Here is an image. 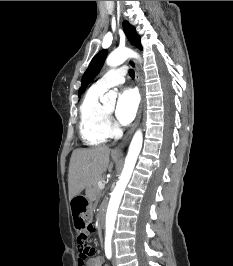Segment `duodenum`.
I'll list each match as a JSON object with an SVG mask.
<instances>
[{
    "instance_id": "obj_1",
    "label": "duodenum",
    "mask_w": 233,
    "mask_h": 266,
    "mask_svg": "<svg viewBox=\"0 0 233 266\" xmlns=\"http://www.w3.org/2000/svg\"><path fill=\"white\" fill-rule=\"evenodd\" d=\"M104 222H105V209L102 208L100 213H99V217H98V223L100 227L104 226Z\"/></svg>"
}]
</instances>
